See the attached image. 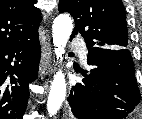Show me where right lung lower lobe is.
Returning <instances> with one entry per match:
<instances>
[{
    "instance_id": "right-lung-lower-lobe-1",
    "label": "right lung lower lobe",
    "mask_w": 142,
    "mask_h": 119,
    "mask_svg": "<svg viewBox=\"0 0 142 119\" xmlns=\"http://www.w3.org/2000/svg\"><path fill=\"white\" fill-rule=\"evenodd\" d=\"M40 51L38 32L24 42L0 49V119H22L28 85L37 77Z\"/></svg>"
}]
</instances>
